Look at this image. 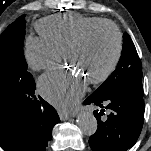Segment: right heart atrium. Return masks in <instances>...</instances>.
I'll list each match as a JSON object with an SVG mask.
<instances>
[{
  "mask_svg": "<svg viewBox=\"0 0 151 151\" xmlns=\"http://www.w3.org/2000/svg\"><path fill=\"white\" fill-rule=\"evenodd\" d=\"M25 58L33 70L40 71L53 67L60 61L62 53L41 36H30L25 43Z\"/></svg>",
  "mask_w": 151,
  "mask_h": 151,
  "instance_id": "d8ad5b80",
  "label": "right heart atrium"
}]
</instances>
